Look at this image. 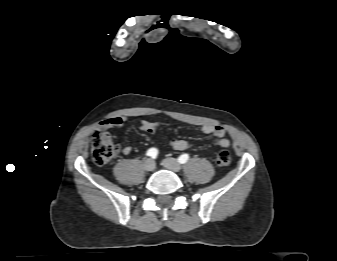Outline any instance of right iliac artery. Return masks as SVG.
Listing matches in <instances>:
<instances>
[{
    "label": "right iliac artery",
    "mask_w": 337,
    "mask_h": 261,
    "mask_svg": "<svg viewBox=\"0 0 337 261\" xmlns=\"http://www.w3.org/2000/svg\"><path fill=\"white\" fill-rule=\"evenodd\" d=\"M157 154H158V150L156 148H150L146 153L147 156H150L152 158H155Z\"/></svg>",
    "instance_id": "82829eb1"
}]
</instances>
